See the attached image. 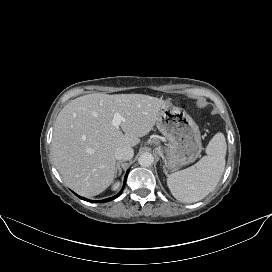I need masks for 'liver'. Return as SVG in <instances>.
<instances>
[{
  "label": "liver",
  "mask_w": 272,
  "mask_h": 272,
  "mask_svg": "<svg viewBox=\"0 0 272 272\" xmlns=\"http://www.w3.org/2000/svg\"><path fill=\"white\" fill-rule=\"evenodd\" d=\"M165 101L144 94H88L63 107L54 125L51 153L64 183L84 197L102 193L114 180L115 150L134 147L156 123ZM119 113L121 129L112 121Z\"/></svg>",
  "instance_id": "liver-1"
}]
</instances>
